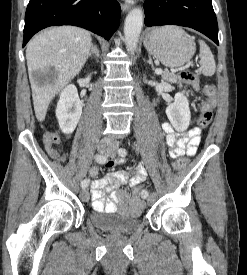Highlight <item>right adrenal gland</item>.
Masks as SVG:
<instances>
[{"instance_id":"right-adrenal-gland-1","label":"right adrenal gland","mask_w":247,"mask_h":275,"mask_svg":"<svg viewBox=\"0 0 247 275\" xmlns=\"http://www.w3.org/2000/svg\"><path fill=\"white\" fill-rule=\"evenodd\" d=\"M89 58L95 57L96 61H98V58L100 57L99 50L96 45L93 43L91 44V51L89 53Z\"/></svg>"}]
</instances>
